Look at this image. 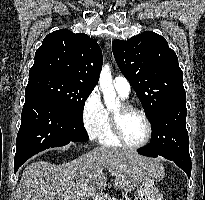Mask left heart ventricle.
<instances>
[{
    "mask_svg": "<svg viewBox=\"0 0 205 200\" xmlns=\"http://www.w3.org/2000/svg\"><path fill=\"white\" fill-rule=\"evenodd\" d=\"M120 106L113 110L118 113ZM122 130L126 140L131 144L141 143L147 134V125L141 115L129 113L122 118Z\"/></svg>",
    "mask_w": 205,
    "mask_h": 200,
    "instance_id": "1",
    "label": "left heart ventricle"
}]
</instances>
